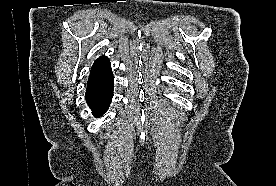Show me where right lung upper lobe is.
Segmentation results:
<instances>
[{
	"instance_id": "right-lung-upper-lobe-1",
	"label": "right lung upper lobe",
	"mask_w": 276,
	"mask_h": 186,
	"mask_svg": "<svg viewBox=\"0 0 276 186\" xmlns=\"http://www.w3.org/2000/svg\"><path fill=\"white\" fill-rule=\"evenodd\" d=\"M111 64L106 56L99 57L93 64L88 83L102 81L112 77Z\"/></svg>"
}]
</instances>
